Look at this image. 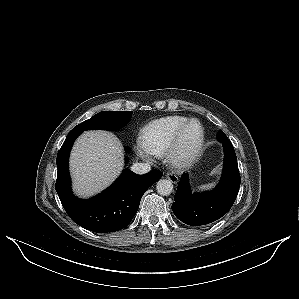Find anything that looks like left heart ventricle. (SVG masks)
Instances as JSON below:
<instances>
[{
    "instance_id": "b2bd125f",
    "label": "left heart ventricle",
    "mask_w": 299,
    "mask_h": 299,
    "mask_svg": "<svg viewBox=\"0 0 299 299\" xmlns=\"http://www.w3.org/2000/svg\"><path fill=\"white\" fill-rule=\"evenodd\" d=\"M199 133H200L199 126L197 124H193L186 132V135L184 138L185 145L191 146L198 138Z\"/></svg>"
}]
</instances>
